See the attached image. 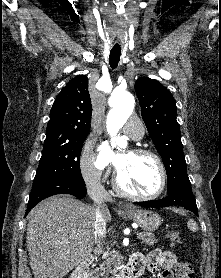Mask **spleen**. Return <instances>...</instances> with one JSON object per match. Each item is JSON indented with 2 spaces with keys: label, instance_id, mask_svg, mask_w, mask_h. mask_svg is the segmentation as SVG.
I'll return each instance as SVG.
<instances>
[{
  "label": "spleen",
  "instance_id": "1",
  "mask_svg": "<svg viewBox=\"0 0 221 278\" xmlns=\"http://www.w3.org/2000/svg\"><path fill=\"white\" fill-rule=\"evenodd\" d=\"M188 228L193 231V232H197L198 231V226L196 224V222L193 219H190L188 221Z\"/></svg>",
  "mask_w": 221,
  "mask_h": 278
}]
</instances>
